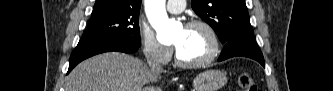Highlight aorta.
Segmentation results:
<instances>
[{
  "label": "aorta",
  "instance_id": "obj_1",
  "mask_svg": "<svg viewBox=\"0 0 333 91\" xmlns=\"http://www.w3.org/2000/svg\"><path fill=\"white\" fill-rule=\"evenodd\" d=\"M145 11L151 26L156 31L158 41H173L178 25L168 18L165 0H145Z\"/></svg>",
  "mask_w": 333,
  "mask_h": 91
}]
</instances>
